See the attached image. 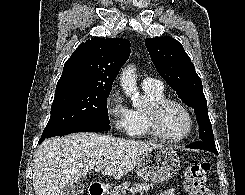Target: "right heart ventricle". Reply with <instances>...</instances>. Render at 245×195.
Returning <instances> with one entry per match:
<instances>
[{"label":"right heart ventricle","mask_w":245,"mask_h":195,"mask_svg":"<svg viewBox=\"0 0 245 195\" xmlns=\"http://www.w3.org/2000/svg\"><path fill=\"white\" fill-rule=\"evenodd\" d=\"M148 101V106L143 109L135 108L131 110V131L129 135L134 138H141L148 135L147 125H146V111L147 108L161 100L166 98L164 89H143Z\"/></svg>","instance_id":"obj_1"}]
</instances>
